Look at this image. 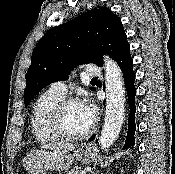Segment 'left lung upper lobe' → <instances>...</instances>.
<instances>
[{
    "instance_id": "obj_1",
    "label": "left lung upper lobe",
    "mask_w": 175,
    "mask_h": 174,
    "mask_svg": "<svg viewBox=\"0 0 175 174\" xmlns=\"http://www.w3.org/2000/svg\"><path fill=\"white\" fill-rule=\"evenodd\" d=\"M128 44L120 18L106 7L92 9L52 28L33 51L26 73L25 106L45 86L67 80L77 65L102 66L103 54L116 60Z\"/></svg>"
}]
</instances>
